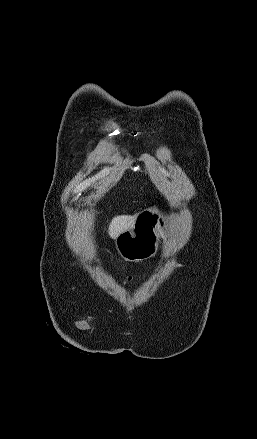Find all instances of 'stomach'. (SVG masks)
Here are the masks:
<instances>
[{"mask_svg":"<svg viewBox=\"0 0 257 439\" xmlns=\"http://www.w3.org/2000/svg\"><path fill=\"white\" fill-rule=\"evenodd\" d=\"M169 216L156 207L140 212L131 229L122 232L115 240L118 254L126 261L139 262L155 255L159 238L169 233Z\"/></svg>","mask_w":257,"mask_h":439,"instance_id":"obj_1","label":"stomach"}]
</instances>
